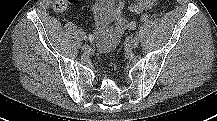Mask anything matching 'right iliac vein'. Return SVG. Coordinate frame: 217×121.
<instances>
[{"instance_id":"63e3f726","label":"right iliac vein","mask_w":217,"mask_h":121,"mask_svg":"<svg viewBox=\"0 0 217 121\" xmlns=\"http://www.w3.org/2000/svg\"><path fill=\"white\" fill-rule=\"evenodd\" d=\"M82 50L85 52V53H90L92 51V48L88 45V44H84L82 46Z\"/></svg>"}]
</instances>
